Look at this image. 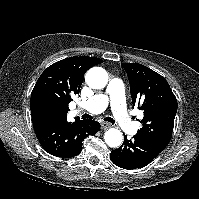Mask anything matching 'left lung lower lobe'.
<instances>
[{
    "instance_id": "obj_1",
    "label": "left lung lower lobe",
    "mask_w": 199,
    "mask_h": 199,
    "mask_svg": "<svg viewBox=\"0 0 199 199\" xmlns=\"http://www.w3.org/2000/svg\"><path fill=\"white\" fill-rule=\"evenodd\" d=\"M163 148L138 136L133 140L124 138L123 144L110 154L111 161L124 169H137L147 166Z\"/></svg>"
}]
</instances>
